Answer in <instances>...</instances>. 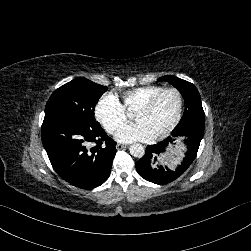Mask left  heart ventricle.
<instances>
[{
    "instance_id": "obj_1",
    "label": "left heart ventricle",
    "mask_w": 251,
    "mask_h": 251,
    "mask_svg": "<svg viewBox=\"0 0 251 251\" xmlns=\"http://www.w3.org/2000/svg\"><path fill=\"white\" fill-rule=\"evenodd\" d=\"M178 108V96L175 93H168L164 95L152 109L138 108L135 112V119H147L151 121L159 132L175 120Z\"/></svg>"
}]
</instances>
